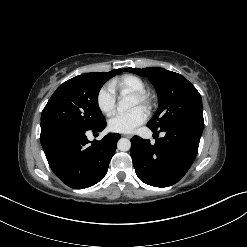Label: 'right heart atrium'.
<instances>
[{"instance_id":"d8ad5b80","label":"right heart atrium","mask_w":247,"mask_h":247,"mask_svg":"<svg viewBox=\"0 0 247 247\" xmlns=\"http://www.w3.org/2000/svg\"><path fill=\"white\" fill-rule=\"evenodd\" d=\"M97 105L100 111L109 116L116 107V96L110 86L102 87L97 94Z\"/></svg>"}]
</instances>
